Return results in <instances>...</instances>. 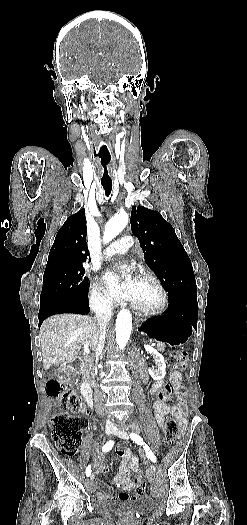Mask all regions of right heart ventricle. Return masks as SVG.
Here are the masks:
<instances>
[{
    "mask_svg": "<svg viewBox=\"0 0 247 525\" xmlns=\"http://www.w3.org/2000/svg\"><path fill=\"white\" fill-rule=\"evenodd\" d=\"M116 282H118V278L116 277Z\"/></svg>",
    "mask_w": 247,
    "mask_h": 525,
    "instance_id": "e07e8e85",
    "label": "right heart ventricle"
}]
</instances>
